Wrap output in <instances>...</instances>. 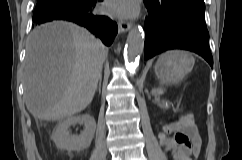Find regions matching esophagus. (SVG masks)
<instances>
[{"label":"esophagus","instance_id":"34e87169","mask_svg":"<svg viewBox=\"0 0 242 160\" xmlns=\"http://www.w3.org/2000/svg\"><path fill=\"white\" fill-rule=\"evenodd\" d=\"M118 27H119L120 32H126L132 27V23L124 21V20H120L118 22Z\"/></svg>","mask_w":242,"mask_h":160}]
</instances>
